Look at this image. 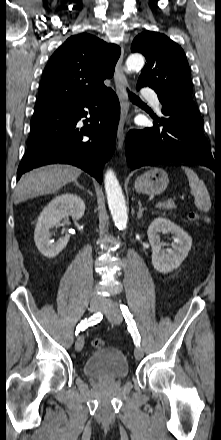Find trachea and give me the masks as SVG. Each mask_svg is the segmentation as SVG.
Returning <instances> with one entry per match:
<instances>
[{
  "instance_id": "1",
  "label": "trachea",
  "mask_w": 221,
  "mask_h": 440,
  "mask_svg": "<svg viewBox=\"0 0 221 440\" xmlns=\"http://www.w3.org/2000/svg\"><path fill=\"white\" fill-rule=\"evenodd\" d=\"M127 91H128V89H127ZM128 95H129V98L132 102H141V100L135 94L130 93L128 91Z\"/></svg>"
}]
</instances>
